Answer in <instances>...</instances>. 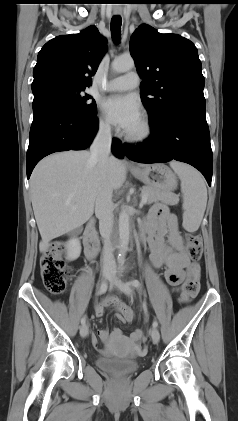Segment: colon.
<instances>
[{"instance_id": "1", "label": "colon", "mask_w": 238, "mask_h": 421, "mask_svg": "<svg viewBox=\"0 0 238 421\" xmlns=\"http://www.w3.org/2000/svg\"><path fill=\"white\" fill-rule=\"evenodd\" d=\"M63 245H53L48 249L40 260V272L45 287L53 294L62 293L71 277V270L62 258ZM187 253L193 262L200 260L202 256V240L198 235H191L188 238ZM199 266L193 271L182 287L179 297L181 304L188 303L199 289Z\"/></svg>"}]
</instances>
